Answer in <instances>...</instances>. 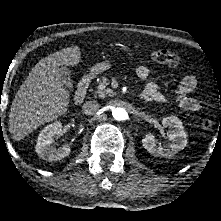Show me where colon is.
<instances>
[{
	"mask_svg": "<svg viewBox=\"0 0 221 221\" xmlns=\"http://www.w3.org/2000/svg\"><path fill=\"white\" fill-rule=\"evenodd\" d=\"M149 57L156 63L166 64L169 66H176L180 62V58L177 54L165 49H151L149 51ZM212 126L213 122L210 119H204L202 121V127L205 130L211 129Z\"/></svg>",
	"mask_w": 221,
	"mask_h": 221,
	"instance_id": "obj_1",
	"label": "colon"
}]
</instances>
